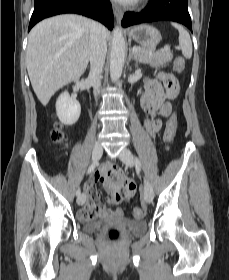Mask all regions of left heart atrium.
Listing matches in <instances>:
<instances>
[{"mask_svg":"<svg viewBox=\"0 0 229 280\" xmlns=\"http://www.w3.org/2000/svg\"><path fill=\"white\" fill-rule=\"evenodd\" d=\"M117 1L122 2V3H126V4H128V3L130 4V3H133L136 0H117Z\"/></svg>","mask_w":229,"mask_h":280,"instance_id":"1","label":"left heart atrium"}]
</instances>
